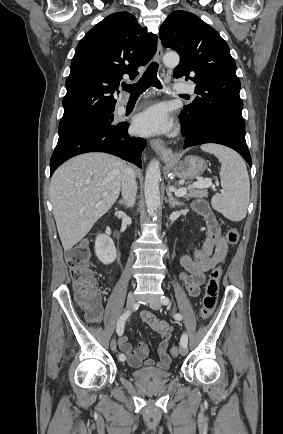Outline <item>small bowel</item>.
Masks as SVG:
<instances>
[{
  "label": "small bowel",
  "instance_id": "1",
  "mask_svg": "<svg viewBox=\"0 0 283 434\" xmlns=\"http://www.w3.org/2000/svg\"><path fill=\"white\" fill-rule=\"evenodd\" d=\"M192 208L205 220L206 237L202 246L194 251L193 257L189 255L181 256L180 265L182 271L179 280L188 296L197 297L201 293V286L205 281L206 273L226 258L228 245L208 203L204 200H196L192 204ZM141 317L160 336L157 347L158 360L155 361L148 357V346L144 342H138L133 347L126 336L118 339L119 348L133 368L145 365L157 366L159 369L165 370L171 362L167 349L172 327L167 322L158 320L150 311H143Z\"/></svg>",
  "mask_w": 283,
  "mask_h": 434
}]
</instances>
